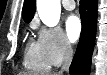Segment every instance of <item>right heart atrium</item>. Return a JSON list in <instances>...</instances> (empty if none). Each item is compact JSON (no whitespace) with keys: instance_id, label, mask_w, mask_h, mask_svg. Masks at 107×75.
<instances>
[{"instance_id":"obj_1","label":"right heart atrium","mask_w":107,"mask_h":75,"mask_svg":"<svg viewBox=\"0 0 107 75\" xmlns=\"http://www.w3.org/2000/svg\"><path fill=\"white\" fill-rule=\"evenodd\" d=\"M38 44L50 66H59L72 55V45L58 28H38Z\"/></svg>"}]
</instances>
